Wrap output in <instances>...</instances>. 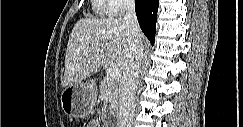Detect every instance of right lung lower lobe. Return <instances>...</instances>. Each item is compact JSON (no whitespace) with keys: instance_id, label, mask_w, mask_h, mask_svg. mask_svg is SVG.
Listing matches in <instances>:
<instances>
[{"instance_id":"right-lung-lower-lobe-1","label":"right lung lower lobe","mask_w":243,"mask_h":127,"mask_svg":"<svg viewBox=\"0 0 243 127\" xmlns=\"http://www.w3.org/2000/svg\"><path fill=\"white\" fill-rule=\"evenodd\" d=\"M159 0H136V15L143 33L152 45L155 41V25Z\"/></svg>"}]
</instances>
